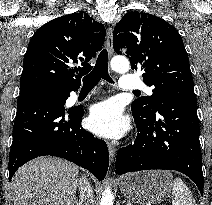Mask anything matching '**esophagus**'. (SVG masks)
Masks as SVG:
<instances>
[{"instance_id": "34e87169", "label": "esophagus", "mask_w": 212, "mask_h": 205, "mask_svg": "<svg viewBox=\"0 0 212 205\" xmlns=\"http://www.w3.org/2000/svg\"><path fill=\"white\" fill-rule=\"evenodd\" d=\"M106 47H107L108 53L112 55L113 53V28L112 27H108L107 29ZM108 151L110 156V162L112 163L114 161L115 154H116L115 145L112 143H108Z\"/></svg>"}]
</instances>
